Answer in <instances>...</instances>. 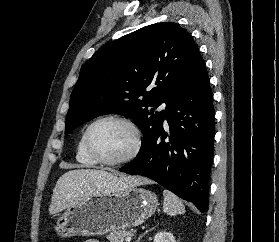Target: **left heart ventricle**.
I'll list each match as a JSON object with an SVG mask.
<instances>
[{
	"instance_id": "b2bd125f",
	"label": "left heart ventricle",
	"mask_w": 279,
	"mask_h": 242,
	"mask_svg": "<svg viewBox=\"0 0 279 242\" xmlns=\"http://www.w3.org/2000/svg\"><path fill=\"white\" fill-rule=\"evenodd\" d=\"M92 148L97 155L107 160H116L129 153L133 146L132 131L115 121L101 122L91 133Z\"/></svg>"
}]
</instances>
